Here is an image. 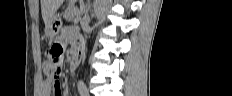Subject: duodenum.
Returning a JSON list of instances; mask_svg holds the SVG:
<instances>
[{"label": "duodenum", "instance_id": "obj_1", "mask_svg": "<svg viewBox=\"0 0 232 96\" xmlns=\"http://www.w3.org/2000/svg\"><path fill=\"white\" fill-rule=\"evenodd\" d=\"M82 56V49L80 46H76L74 51H73V57H72V61L70 64V69L71 70H75L79 64V61L81 59Z\"/></svg>", "mask_w": 232, "mask_h": 96}]
</instances>
